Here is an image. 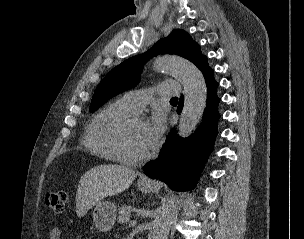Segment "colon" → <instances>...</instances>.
I'll return each instance as SVG.
<instances>
[{
	"instance_id": "colon-1",
	"label": "colon",
	"mask_w": 304,
	"mask_h": 239,
	"mask_svg": "<svg viewBox=\"0 0 304 239\" xmlns=\"http://www.w3.org/2000/svg\"><path fill=\"white\" fill-rule=\"evenodd\" d=\"M66 202L67 194L63 191L51 192L45 195L46 205L56 213L64 210Z\"/></svg>"
}]
</instances>
